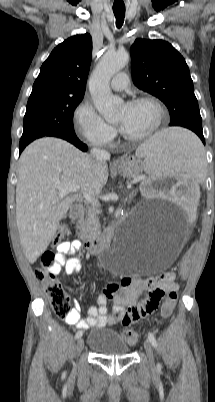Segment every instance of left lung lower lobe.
I'll return each mask as SVG.
<instances>
[{
    "label": "left lung lower lobe",
    "mask_w": 215,
    "mask_h": 402,
    "mask_svg": "<svg viewBox=\"0 0 215 402\" xmlns=\"http://www.w3.org/2000/svg\"><path fill=\"white\" fill-rule=\"evenodd\" d=\"M197 135L200 137V139L202 140V142L205 144V139H204L203 134H197Z\"/></svg>",
    "instance_id": "left-lung-lower-lobe-1"
}]
</instances>
